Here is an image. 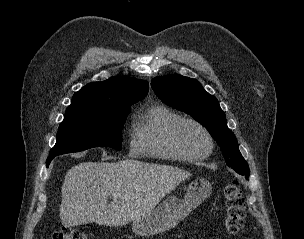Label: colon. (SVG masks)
<instances>
[{
    "mask_svg": "<svg viewBox=\"0 0 304 239\" xmlns=\"http://www.w3.org/2000/svg\"><path fill=\"white\" fill-rule=\"evenodd\" d=\"M225 203L224 230L228 237L240 232L244 226L246 210L240 185L237 181L228 182L223 189ZM52 239H86L74 229L60 227L52 234Z\"/></svg>",
    "mask_w": 304,
    "mask_h": 239,
    "instance_id": "1",
    "label": "colon"
}]
</instances>
